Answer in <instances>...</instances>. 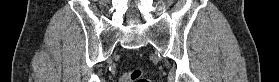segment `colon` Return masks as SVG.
<instances>
[{
    "instance_id": "1",
    "label": "colon",
    "mask_w": 279,
    "mask_h": 82,
    "mask_svg": "<svg viewBox=\"0 0 279 82\" xmlns=\"http://www.w3.org/2000/svg\"><path fill=\"white\" fill-rule=\"evenodd\" d=\"M120 82H148L141 70H134L123 73L119 79Z\"/></svg>"
}]
</instances>
